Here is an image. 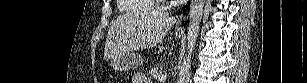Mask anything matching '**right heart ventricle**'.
Listing matches in <instances>:
<instances>
[{
  "mask_svg": "<svg viewBox=\"0 0 307 83\" xmlns=\"http://www.w3.org/2000/svg\"><path fill=\"white\" fill-rule=\"evenodd\" d=\"M118 6L122 13L133 15L151 11L155 6V1L152 3L151 0H120Z\"/></svg>",
  "mask_w": 307,
  "mask_h": 83,
  "instance_id": "1",
  "label": "right heart ventricle"
}]
</instances>
